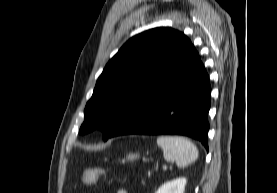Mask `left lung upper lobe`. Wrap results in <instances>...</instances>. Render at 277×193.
I'll use <instances>...</instances> for the list:
<instances>
[{
    "label": "left lung upper lobe",
    "instance_id": "5c2ea615",
    "mask_svg": "<svg viewBox=\"0 0 277 193\" xmlns=\"http://www.w3.org/2000/svg\"><path fill=\"white\" fill-rule=\"evenodd\" d=\"M194 50L183 33L171 28H154L132 37L98 78L79 134L100 128L107 140L133 108L171 77Z\"/></svg>",
    "mask_w": 277,
    "mask_h": 193
}]
</instances>
